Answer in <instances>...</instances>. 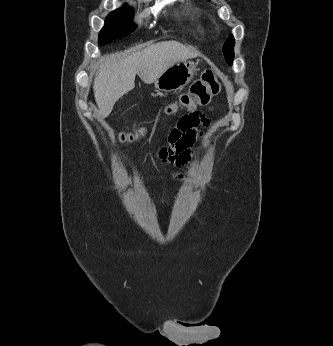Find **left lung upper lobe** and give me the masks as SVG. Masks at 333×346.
Listing matches in <instances>:
<instances>
[{
    "instance_id": "5c2ea615",
    "label": "left lung upper lobe",
    "mask_w": 333,
    "mask_h": 346,
    "mask_svg": "<svg viewBox=\"0 0 333 346\" xmlns=\"http://www.w3.org/2000/svg\"><path fill=\"white\" fill-rule=\"evenodd\" d=\"M234 44V38L233 36H230L223 45V53L229 65H232L234 59Z\"/></svg>"
}]
</instances>
